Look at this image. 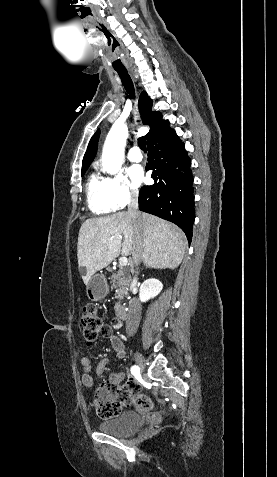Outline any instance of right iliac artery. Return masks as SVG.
I'll return each instance as SVG.
<instances>
[{"mask_svg":"<svg viewBox=\"0 0 277 477\" xmlns=\"http://www.w3.org/2000/svg\"><path fill=\"white\" fill-rule=\"evenodd\" d=\"M131 372H132L133 374L139 372V367H138V366H133V367L131 368Z\"/></svg>","mask_w":277,"mask_h":477,"instance_id":"obj_1","label":"right iliac artery"}]
</instances>
